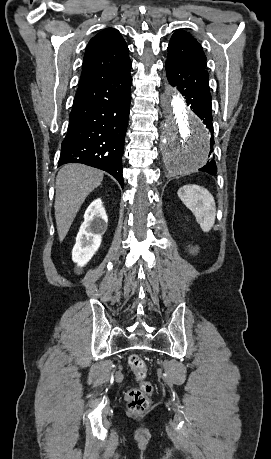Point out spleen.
Returning <instances> with one entry per match:
<instances>
[{"mask_svg": "<svg viewBox=\"0 0 271 459\" xmlns=\"http://www.w3.org/2000/svg\"><path fill=\"white\" fill-rule=\"evenodd\" d=\"M187 198H183L182 202L193 212L200 228L203 231H210L215 224L216 206L215 200L205 188L200 186H188Z\"/></svg>", "mask_w": 271, "mask_h": 459, "instance_id": "spleen-1", "label": "spleen"}]
</instances>
